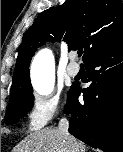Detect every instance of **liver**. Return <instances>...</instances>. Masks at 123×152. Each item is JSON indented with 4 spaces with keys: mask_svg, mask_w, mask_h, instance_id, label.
<instances>
[{
    "mask_svg": "<svg viewBox=\"0 0 123 152\" xmlns=\"http://www.w3.org/2000/svg\"><path fill=\"white\" fill-rule=\"evenodd\" d=\"M85 145L59 128L49 127L25 137L13 152H85Z\"/></svg>",
    "mask_w": 123,
    "mask_h": 152,
    "instance_id": "6515ba94",
    "label": "liver"
}]
</instances>
